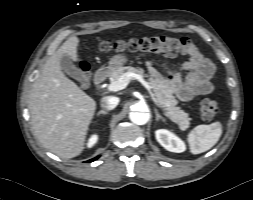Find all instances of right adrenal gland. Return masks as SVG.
Returning <instances> with one entry per match:
<instances>
[{
	"instance_id": "obj_1",
	"label": "right adrenal gland",
	"mask_w": 253,
	"mask_h": 200,
	"mask_svg": "<svg viewBox=\"0 0 253 200\" xmlns=\"http://www.w3.org/2000/svg\"><path fill=\"white\" fill-rule=\"evenodd\" d=\"M101 114H103V115L108 114V111L100 110V111L97 113V115H101Z\"/></svg>"
}]
</instances>
